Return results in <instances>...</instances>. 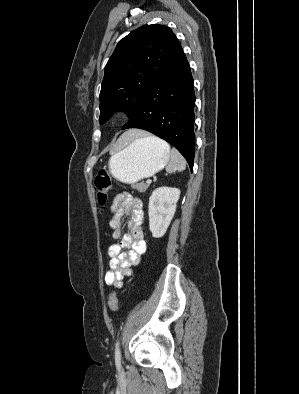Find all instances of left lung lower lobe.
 I'll return each mask as SVG.
<instances>
[{"instance_id": "0a47b994", "label": "left lung lower lobe", "mask_w": 299, "mask_h": 394, "mask_svg": "<svg viewBox=\"0 0 299 394\" xmlns=\"http://www.w3.org/2000/svg\"><path fill=\"white\" fill-rule=\"evenodd\" d=\"M193 77L182 52L150 85L142 102L122 129L147 130L171 143L187 160L194 162Z\"/></svg>"}]
</instances>
